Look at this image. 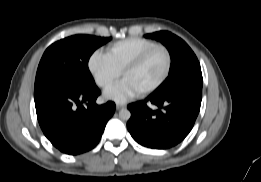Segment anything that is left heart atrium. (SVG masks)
Masks as SVG:
<instances>
[{
    "label": "left heart atrium",
    "instance_id": "39dd6f15",
    "mask_svg": "<svg viewBox=\"0 0 261 182\" xmlns=\"http://www.w3.org/2000/svg\"><path fill=\"white\" fill-rule=\"evenodd\" d=\"M141 92L133 86L129 81L122 80L117 85L107 90L104 97L118 103H123L131 98L136 97Z\"/></svg>",
    "mask_w": 261,
    "mask_h": 182
}]
</instances>
